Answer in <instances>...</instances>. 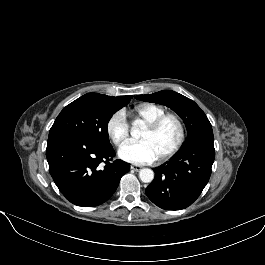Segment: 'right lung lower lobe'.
<instances>
[{
	"label": "right lung lower lobe",
	"mask_w": 265,
	"mask_h": 265,
	"mask_svg": "<svg viewBox=\"0 0 265 265\" xmlns=\"http://www.w3.org/2000/svg\"><path fill=\"white\" fill-rule=\"evenodd\" d=\"M114 156L111 144L78 133L61 132L48 137L49 172L60 192L78 206L100 205L116 191L130 165L119 159L111 161Z\"/></svg>",
	"instance_id": "obj_1"
}]
</instances>
